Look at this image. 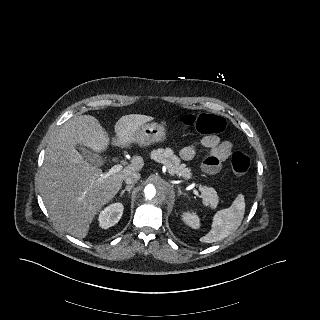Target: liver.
<instances>
[{"label": "liver", "mask_w": 320, "mask_h": 320, "mask_svg": "<svg viewBox=\"0 0 320 320\" xmlns=\"http://www.w3.org/2000/svg\"><path fill=\"white\" fill-rule=\"evenodd\" d=\"M153 119L140 114L122 116L114 127V144L131 147L136 142L135 132ZM110 144L100 122L91 115H81L63 124L46 150L41 174L44 204L55 224L79 239L87 236L93 218L118 193L124 178L144 166L141 156H133L122 171L106 176L76 150V145H81L101 153Z\"/></svg>", "instance_id": "liver-1"}]
</instances>
